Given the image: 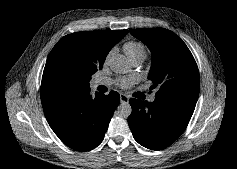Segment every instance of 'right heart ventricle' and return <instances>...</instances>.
<instances>
[{"label":"right heart ventricle","instance_id":"e07e8e85","mask_svg":"<svg viewBox=\"0 0 237 169\" xmlns=\"http://www.w3.org/2000/svg\"><path fill=\"white\" fill-rule=\"evenodd\" d=\"M123 50L131 61L144 60L147 56V48L140 41H128L123 45Z\"/></svg>","mask_w":237,"mask_h":169}]
</instances>
